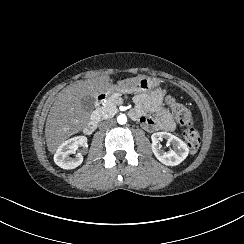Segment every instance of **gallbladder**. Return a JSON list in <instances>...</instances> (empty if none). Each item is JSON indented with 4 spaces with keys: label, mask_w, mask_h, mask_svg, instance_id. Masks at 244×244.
I'll return each instance as SVG.
<instances>
[{
    "label": "gallbladder",
    "mask_w": 244,
    "mask_h": 244,
    "mask_svg": "<svg viewBox=\"0 0 244 244\" xmlns=\"http://www.w3.org/2000/svg\"><path fill=\"white\" fill-rule=\"evenodd\" d=\"M81 105L84 111L92 112L95 108V97L85 95L82 97Z\"/></svg>",
    "instance_id": "gallbladder-1"
}]
</instances>
